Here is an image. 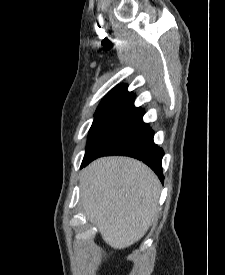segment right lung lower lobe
I'll use <instances>...</instances> for the list:
<instances>
[{"instance_id":"obj_1","label":"right lung lower lobe","mask_w":225,"mask_h":275,"mask_svg":"<svg viewBox=\"0 0 225 275\" xmlns=\"http://www.w3.org/2000/svg\"><path fill=\"white\" fill-rule=\"evenodd\" d=\"M144 112L127 117L97 145L94 151L83 160L82 167L94 159L107 155L130 156L147 164L163 181V150L153 141V130L142 121Z\"/></svg>"}]
</instances>
